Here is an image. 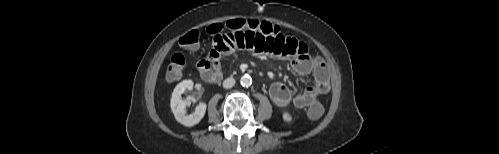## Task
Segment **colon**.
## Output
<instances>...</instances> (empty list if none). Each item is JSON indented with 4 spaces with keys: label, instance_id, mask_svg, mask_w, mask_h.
<instances>
[{
    "label": "colon",
    "instance_id": "colon-1",
    "mask_svg": "<svg viewBox=\"0 0 499 154\" xmlns=\"http://www.w3.org/2000/svg\"><path fill=\"white\" fill-rule=\"evenodd\" d=\"M251 29L259 31L266 35L280 34V28L268 21L255 19H232L226 23H215L207 28V32L213 36L218 35L227 30L239 31ZM199 43V33L195 30L185 33L179 40L181 47L186 49H194ZM185 57L182 53H175L167 66L166 77L169 80H177L182 76L185 67ZM324 108L318 101L313 102L308 108V116L311 119H318L322 116Z\"/></svg>",
    "mask_w": 499,
    "mask_h": 154
}]
</instances>
